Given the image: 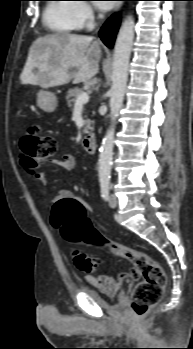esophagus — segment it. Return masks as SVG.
I'll use <instances>...</instances> for the list:
<instances>
[{
    "mask_svg": "<svg viewBox=\"0 0 193 349\" xmlns=\"http://www.w3.org/2000/svg\"><path fill=\"white\" fill-rule=\"evenodd\" d=\"M122 6V3L119 1L116 5L115 12H117Z\"/></svg>",
    "mask_w": 193,
    "mask_h": 349,
    "instance_id": "obj_1",
    "label": "esophagus"
}]
</instances>
